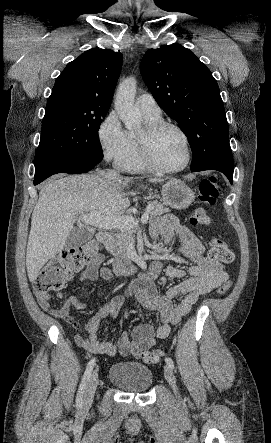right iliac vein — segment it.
<instances>
[{
  "label": "right iliac vein",
  "instance_id": "1",
  "mask_svg": "<svg viewBox=\"0 0 271 443\" xmlns=\"http://www.w3.org/2000/svg\"><path fill=\"white\" fill-rule=\"evenodd\" d=\"M97 385H98V373L94 371L93 374L90 376L86 386L84 399L82 402L83 409H88L91 406Z\"/></svg>",
  "mask_w": 271,
  "mask_h": 443
}]
</instances>
